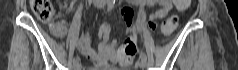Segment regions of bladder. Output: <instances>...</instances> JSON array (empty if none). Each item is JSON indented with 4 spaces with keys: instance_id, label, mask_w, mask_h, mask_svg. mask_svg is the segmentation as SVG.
<instances>
[{
    "instance_id": "31cf9c89",
    "label": "bladder",
    "mask_w": 238,
    "mask_h": 70,
    "mask_svg": "<svg viewBox=\"0 0 238 70\" xmlns=\"http://www.w3.org/2000/svg\"><path fill=\"white\" fill-rule=\"evenodd\" d=\"M106 70H125V69H121V68H117V67H109Z\"/></svg>"
}]
</instances>
